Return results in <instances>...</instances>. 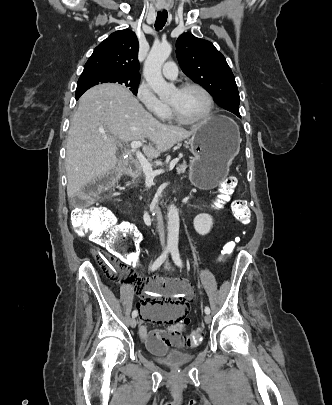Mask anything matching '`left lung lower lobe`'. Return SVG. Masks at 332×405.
<instances>
[{"mask_svg": "<svg viewBox=\"0 0 332 405\" xmlns=\"http://www.w3.org/2000/svg\"><path fill=\"white\" fill-rule=\"evenodd\" d=\"M231 112L240 117L239 106L233 107Z\"/></svg>", "mask_w": 332, "mask_h": 405, "instance_id": "left-lung-lower-lobe-1", "label": "left lung lower lobe"}]
</instances>
